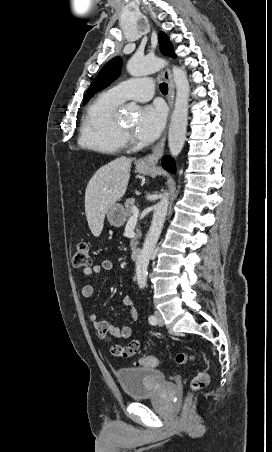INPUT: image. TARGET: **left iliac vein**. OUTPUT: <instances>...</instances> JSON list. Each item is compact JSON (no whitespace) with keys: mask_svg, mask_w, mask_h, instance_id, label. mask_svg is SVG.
<instances>
[{"mask_svg":"<svg viewBox=\"0 0 272 452\" xmlns=\"http://www.w3.org/2000/svg\"><path fill=\"white\" fill-rule=\"evenodd\" d=\"M155 317L157 319V324L159 326H163L164 325V320H163V317H162V315H161V313L159 311H155Z\"/></svg>","mask_w":272,"mask_h":452,"instance_id":"1","label":"left iliac vein"}]
</instances>
